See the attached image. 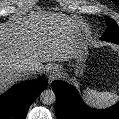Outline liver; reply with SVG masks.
Wrapping results in <instances>:
<instances>
[{
    "label": "liver",
    "mask_w": 119,
    "mask_h": 119,
    "mask_svg": "<svg viewBox=\"0 0 119 119\" xmlns=\"http://www.w3.org/2000/svg\"><path fill=\"white\" fill-rule=\"evenodd\" d=\"M53 20L0 23V94L23 80L25 67L36 68V74L42 72L44 62L73 58L76 26L65 17L56 15Z\"/></svg>",
    "instance_id": "obj_1"
}]
</instances>
